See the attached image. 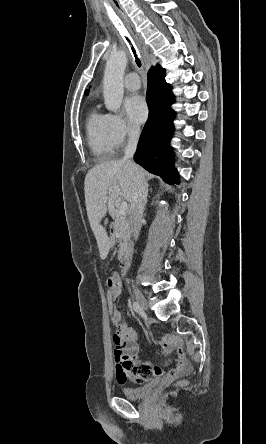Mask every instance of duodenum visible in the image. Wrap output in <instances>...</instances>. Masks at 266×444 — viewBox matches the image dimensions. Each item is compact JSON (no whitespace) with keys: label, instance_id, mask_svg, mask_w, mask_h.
<instances>
[{"label":"duodenum","instance_id":"410a0bca","mask_svg":"<svg viewBox=\"0 0 266 444\" xmlns=\"http://www.w3.org/2000/svg\"><path fill=\"white\" fill-rule=\"evenodd\" d=\"M129 268H130V264H129V256L126 255L122 261H121V265H120V271L123 275H128L129 273Z\"/></svg>","mask_w":266,"mask_h":444}]
</instances>
